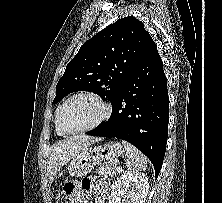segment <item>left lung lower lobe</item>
<instances>
[{"mask_svg":"<svg viewBox=\"0 0 222 203\" xmlns=\"http://www.w3.org/2000/svg\"><path fill=\"white\" fill-rule=\"evenodd\" d=\"M111 104L109 120L86 134L133 144L150 159L158 176L168 137L169 105L167 79L152 38Z\"/></svg>","mask_w":222,"mask_h":203,"instance_id":"obj_1","label":"left lung lower lobe"}]
</instances>
